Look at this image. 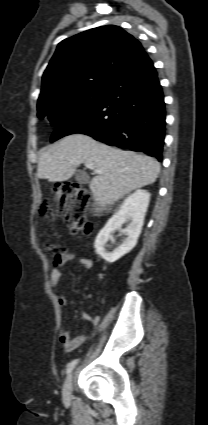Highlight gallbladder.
I'll list each match as a JSON object with an SVG mask.
<instances>
[{"label":"gallbladder","instance_id":"obj_1","mask_svg":"<svg viewBox=\"0 0 208 425\" xmlns=\"http://www.w3.org/2000/svg\"><path fill=\"white\" fill-rule=\"evenodd\" d=\"M75 178L81 184H86L89 180L88 176L83 171H77Z\"/></svg>","mask_w":208,"mask_h":425}]
</instances>
